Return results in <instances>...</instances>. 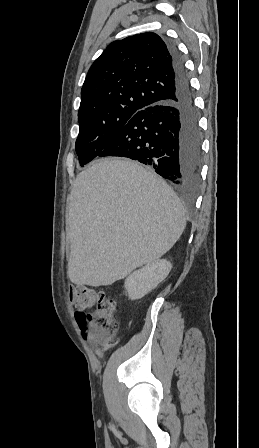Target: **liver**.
Wrapping results in <instances>:
<instances>
[{
    "instance_id": "1",
    "label": "liver",
    "mask_w": 259,
    "mask_h": 448,
    "mask_svg": "<svg viewBox=\"0 0 259 448\" xmlns=\"http://www.w3.org/2000/svg\"><path fill=\"white\" fill-rule=\"evenodd\" d=\"M67 218L72 284L111 286L166 254L185 228L174 190L128 158H103L74 180Z\"/></svg>"
}]
</instances>
